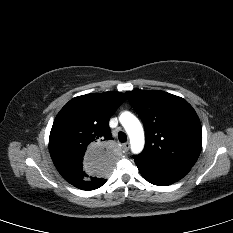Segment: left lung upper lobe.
Segmentation results:
<instances>
[{"mask_svg": "<svg viewBox=\"0 0 233 233\" xmlns=\"http://www.w3.org/2000/svg\"><path fill=\"white\" fill-rule=\"evenodd\" d=\"M126 95L145 127V148L134 157L153 164L192 167L202 148V128L192 106L160 90H133Z\"/></svg>", "mask_w": 233, "mask_h": 233, "instance_id": "1", "label": "left lung upper lobe"}]
</instances>
